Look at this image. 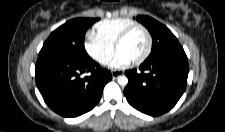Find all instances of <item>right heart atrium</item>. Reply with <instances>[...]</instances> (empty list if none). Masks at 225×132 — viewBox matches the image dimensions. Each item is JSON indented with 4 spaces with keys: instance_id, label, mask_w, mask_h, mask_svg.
Here are the masks:
<instances>
[{
    "instance_id": "obj_1",
    "label": "right heart atrium",
    "mask_w": 225,
    "mask_h": 132,
    "mask_svg": "<svg viewBox=\"0 0 225 132\" xmlns=\"http://www.w3.org/2000/svg\"><path fill=\"white\" fill-rule=\"evenodd\" d=\"M84 48L86 53L94 61L101 65L108 64L114 54L113 46L102 42L93 34H90L86 37L84 41Z\"/></svg>"
}]
</instances>
